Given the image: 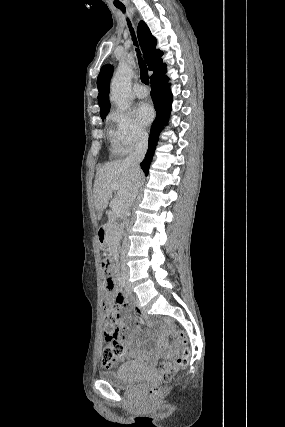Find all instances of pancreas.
Listing matches in <instances>:
<instances>
[{"label": "pancreas", "mask_w": 285, "mask_h": 427, "mask_svg": "<svg viewBox=\"0 0 285 427\" xmlns=\"http://www.w3.org/2000/svg\"><path fill=\"white\" fill-rule=\"evenodd\" d=\"M115 217H117L116 214L112 215V220L108 224L107 240L109 245H113L118 237L119 226L114 222Z\"/></svg>", "instance_id": "cf45deb5"}]
</instances>
